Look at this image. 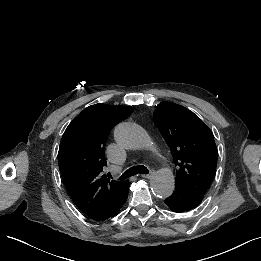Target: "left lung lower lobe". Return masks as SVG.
<instances>
[{"instance_id": "left-lung-lower-lobe-1", "label": "left lung lower lobe", "mask_w": 261, "mask_h": 261, "mask_svg": "<svg viewBox=\"0 0 261 261\" xmlns=\"http://www.w3.org/2000/svg\"><path fill=\"white\" fill-rule=\"evenodd\" d=\"M202 200L203 195L180 185H175V191L165 200V204L173 212L181 213L196 208Z\"/></svg>"}]
</instances>
